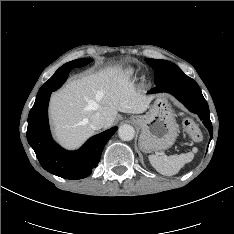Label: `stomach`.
<instances>
[{"instance_id":"0dacf381","label":"stomach","mask_w":234,"mask_h":234,"mask_svg":"<svg viewBox=\"0 0 234 234\" xmlns=\"http://www.w3.org/2000/svg\"><path fill=\"white\" fill-rule=\"evenodd\" d=\"M132 121L140 127V149L157 152L170 148L177 136L175 113L166 96H158L145 115L133 116Z\"/></svg>"}]
</instances>
